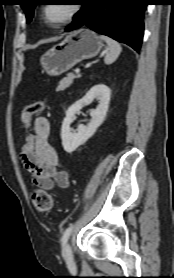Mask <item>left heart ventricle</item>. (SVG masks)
Instances as JSON below:
<instances>
[{"label": "left heart ventricle", "instance_id": "left-heart-ventricle-1", "mask_svg": "<svg viewBox=\"0 0 174 278\" xmlns=\"http://www.w3.org/2000/svg\"><path fill=\"white\" fill-rule=\"evenodd\" d=\"M69 10V4H50L46 6L44 14L50 22H57L63 19Z\"/></svg>", "mask_w": 174, "mask_h": 278}]
</instances>
